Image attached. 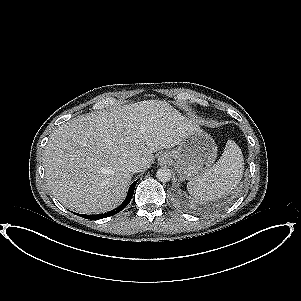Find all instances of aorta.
Listing matches in <instances>:
<instances>
[{
  "mask_svg": "<svg viewBox=\"0 0 301 301\" xmlns=\"http://www.w3.org/2000/svg\"><path fill=\"white\" fill-rule=\"evenodd\" d=\"M172 177L171 171L168 168H160L157 170L156 172V178L160 181V182H168L170 181Z\"/></svg>",
  "mask_w": 301,
  "mask_h": 301,
  "instance_id": "762f6f07",
  "label": "aorta"
}]
</instances>
